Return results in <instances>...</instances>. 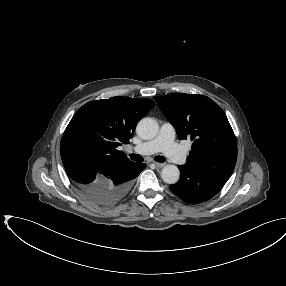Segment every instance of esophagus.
Returning a JSON list of instances; mask_svg holds the SVG:
<instances>
[{
    "instance_id": "34e87169",
    "label": "esophagus",
    "mask_w": 286,
    "mask_h": 286,
    "mask_svg": "<svg viewBox=\"0 0 286 286\" xmlns=\"http://www.w3.org/2000/svg\"><path fill=\"white\" fill-rule=\"evenodd\" d=\"M154 164L156 167H159V168H161L165 165L164 163H158V162H154Z\"/></svg>"
}]
</instances>
